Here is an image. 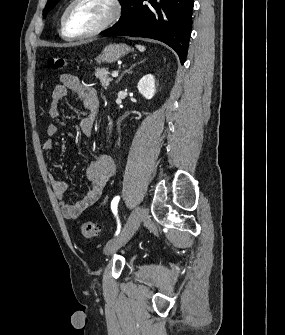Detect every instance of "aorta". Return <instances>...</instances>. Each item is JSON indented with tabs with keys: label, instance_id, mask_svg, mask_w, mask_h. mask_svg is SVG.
Wrapping results in <instances>:
<instances>
[{
	"label": "aorta",
	"instance_id": "obj_1",
	"mask_svg": "<svg viewBox=\"0 0 285 335\" xmlns=\"http://www.w3.org/2000/svg\"><path fill=\"white\" fill-rule=\"evenodd\" d=\"M107 130L104 131V136L105 137H118L119 136V131L118 130H112V126H107Z\"/></svg>",
	"mask_w": 285,
	"mask_h": 335
}]
</instances>
